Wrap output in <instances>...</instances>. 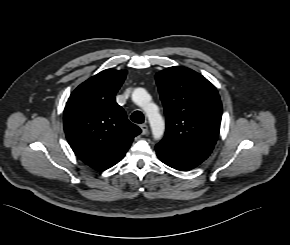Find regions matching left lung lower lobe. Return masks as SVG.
<instances>
[{
  "instance_id": "obj_1",
  "label": "left lung lower lobe",
  "mask_w": 290,
  "mask_h": 245,
  "mask_svg": "<svg viewBox=\"0 0 290 245\" xmlns=\"http://www.w3.org/2000/svg\"><path fill=\"white\" fill-rule=\"evenodd\" d=\"M156 153L158 158L163 163L180 171L191 170L200 164V162L184 158L172 151H169L168 149L159 144L156 145Z\"/></svg>"
}]
</instances>
